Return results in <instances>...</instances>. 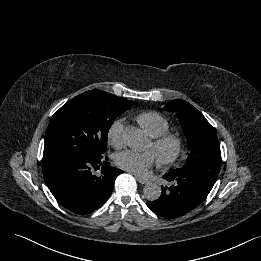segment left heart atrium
Returning a JSON list of instances; mask_svg holds the SVG:
<instances>
[{"instance_id": "39dd6f15", "label": "left heart atrium", "mask_w": 261, "mask_h": 261, "mask_svg": "<svg viewBox=\"0 0 261 261\" xmlns=\"http://www.w3.org/2000/svg\"><path fill=\"white\" fill-rule=\"evenodd\" d=\"M156 161L157 158L152 151L125 150L115 156L117 166L135 175L145 174Z\"/></svg>"}]
</instances>
